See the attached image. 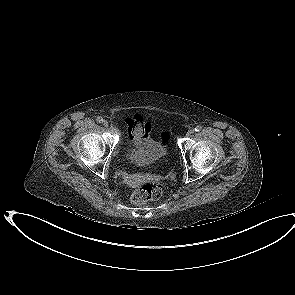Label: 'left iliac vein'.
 I'll return each mask as SVG.
<instances>
[{"label":"left iliac vein","instance_id":"1","mask_svg":"<svg viewBox=\"0 0 295 295\" xmlns=\"http://www.w3.org/2000/svg\"><path fill=\"white\" fill-rule=\"evenodd\" d=\"M193 133H194V130L193 129H190V130H188L186 136L187 137H190V136H192Z\"/></svg>","mask_w":295,"mask_h":295}]
</instances>
